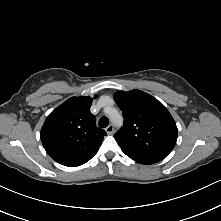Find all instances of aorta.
Wrapping results in <instances>:
<instances>
[{"mask_svg":"<svg viewBox=\"0 0 221 221\" xmlns=\"http://www.w3.org/2000/svg\"><path fill=\"white\" fill-rule=\"evenodd\" d=\"M111 118H112V121L114 123H117V124H121L122 123V117L119 114H116V115L112 116ZM116 118L119 119L117 122H116Z\"/></svg>","mask_w":221,"mask_h":221,"instance_id":"762f6f07","label":"aorta"}]
</instances>
